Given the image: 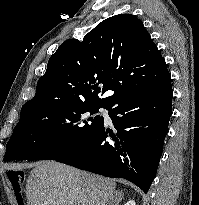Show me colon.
I'll use <instances>...</instances> for the list:
<instances>
[{
	"mask_svg": "<svg viewBox=\"0 0 199 205\" xmlns=\"http://www.w3.org/2000/svg\"><path fill=\"white\" fill-rule=\"evenodd\" d=\"M24 178L25 175L22 171H12L9 173V180L16 194H20L22 192V183Z\"/></svg>",
	"mask_w": 199,
	"mask_h": 205,
	"instance_id": "5ec220e1",
	"label": "colon"
}]
</instances>
